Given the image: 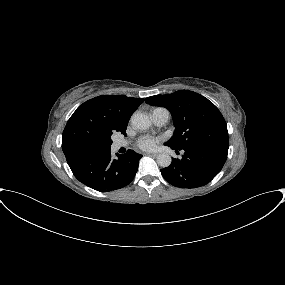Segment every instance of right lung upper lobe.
<instances>
[{
    "mask_svg": "<svg viewBox=\"0 0 285 285\" xmlns=\"http://www.w3.org/2000/svg\"><path fill=\"white\" fill-rule=\"evenodd\" d=\"M143 101L125 95H103L80 105L62 134L68 165L85 154L110 148L114 132L126 135L129 119Z\"/></svg>",
    "mask_w": 285,
    "mask_h": 285,
    "instance_id": "1",
    "label": "right lung upper lobe"
}]
</instances>
